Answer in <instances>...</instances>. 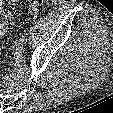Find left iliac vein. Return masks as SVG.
Listing matches in <instances>:
<instances>
[{
  "label": "left iliac vein",
  "mask_w": 113,
  "mask_h": 113,
  "mask_svg": "<svg viewBox=\"0 0 113 113\" xmlns=\"http://www.w3.org/2000/svg\"><path fill=\"white\" fill-rule=\"evenodd\" d=\"M24 47V43L22 41H19L16 43L17 50H22Z\"/></svg>",
  "instance_id": "4c4485c4"
}]
</instances>
